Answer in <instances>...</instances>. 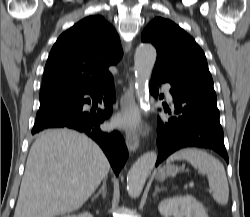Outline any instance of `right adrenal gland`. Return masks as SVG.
<instances>
[{
  "label": "right adrenal gland",
  "mask_w": 250,
  "mask_h": 217,
  "mask_svg": "<svg viewBox=\"0 0 250 217\" xmlns=\"http://www.w3.org/2000/svg\"><path fill=\"white\" fill-rule=\"evenodd\" d=\"M106 180H107V177L103 180V185L98 191V193L93 197V200L99 197L100 194H102V197L104 199L106 198Z\"/></svg>",
  "instance_id": "2a0ac1e0"
}]
</instances>
